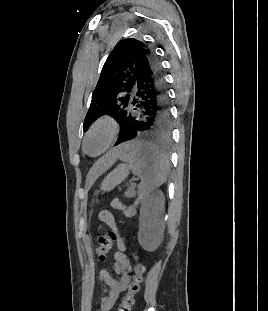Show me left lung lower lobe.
<instances>
[{"mask_svg": "<svg viewBox=\"0 0 268 311\" xmlns=\"http://www.w3.org/2000/svg\"><path fill=\"white\" fill-rule=\"evenodd\" d=\"M171 115L160 61L152 52L137 72L130 111L115 145L122 140L168 141Z\"/></svg>", "mask_w": 268, "mask_h": 311, "instance_id": "obj_1", "label": "left lung lower lobe"}]
</instances>
